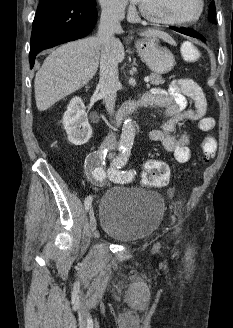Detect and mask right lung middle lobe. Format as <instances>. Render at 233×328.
<instances>
[{
    "mask_svg": "<svg viewBox=\"0 0 233 328\" xmlns=\"http://www.w3.org/2000/svg\"><path fill=\"white\" fill-rule=\"evenodd\" d=\"M83 1H93V0H83Z\"/></svg>",
    "mask_w": 233,
    "mask_h": 328,
    "instance_id": "right-lung-middle-lobe-1",
    "label": "right lung middle lobe"
}]
</instances>
